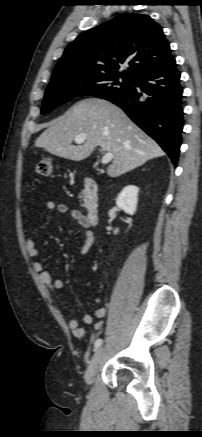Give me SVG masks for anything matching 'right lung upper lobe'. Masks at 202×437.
<instances>
[{
    "mask_svg": "<svg viewBox=\"0 0 202 437\" xmlns=\"http://www.w3.org/2000/svg\"><path fill=\"white\" fill-rule=\"evenodd\" d=\"M172 57L162 28L143 14H123L80 34L65 49L52 81L78 76L119 73L128 76L154 68Z\"/></svg>",
    "mask_w": 202,
    "mask_h": 437,
    "instance_id": "cb5924a9",
    "label": "right lung upper lobe"
}]
</instances>
